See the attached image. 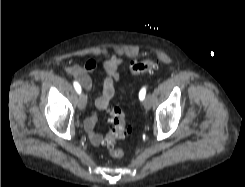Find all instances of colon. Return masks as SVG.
<instances>
[{
    "instance_id": "colon-1",
    "label": "colon",
    "mask_w": 245,
    "mask_h": 187,
    "mask_svg": "<svg viewBox=\"0 0 245 187\" xmlns=\"http://www.w3.org/2000/svg\"><path fill=\"white\" fill-rule=\"evenodd\" d=\"M158 65V60L152 56L143 61L132 63L129 69L133 75H144L153 72ZM108 112L112 123V130L109 136L104 140V144L108 147L112 157L121 158L124 153L115 146V140L122 139L130 134L131 127L127 124L126 115L120 106H110Z\"/></svg>"
}]
</instances>
